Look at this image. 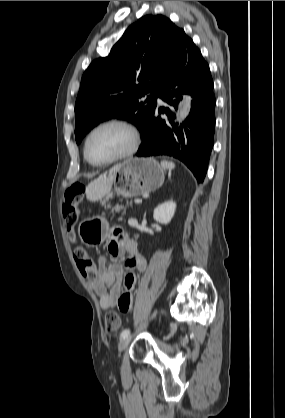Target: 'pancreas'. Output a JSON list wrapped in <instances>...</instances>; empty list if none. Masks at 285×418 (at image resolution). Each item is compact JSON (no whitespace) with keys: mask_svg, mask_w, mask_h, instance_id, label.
<instances>
[{"mask_svg":"<svg viewBox=\"0 0 285 418\" xmlns=\"http://www.w3.org/2000/svg\"><path fill=\"white\" fill-rule=\"evenodd\" d=\"M124 207L122 205H116V207L112 208V210H116V211H120L122 210Z\"/></svg>","mask_w":285,"mask_h":418,"instance_id":"cf45deb5","label":"pancreas"}]
</instances>
